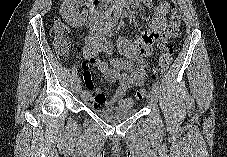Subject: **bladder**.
<instances>
[{"label":"bladder","mask_w":227,"mask_h":157,"mask_svg":"<svg viewBox=\"0 0 227 157\" xmlns=\"http://www.w3.org/2000/svg\"><path fill=\"white\" fill-rule=\"evenodd\" d=\"M93 112L107 122H119L132 117L137 110L132 107H100Z\"/></svg>","instance_id":"obj_1"}]
</instances>
